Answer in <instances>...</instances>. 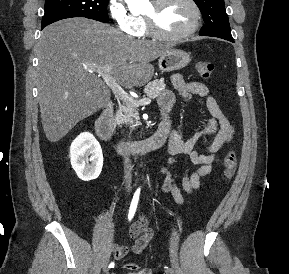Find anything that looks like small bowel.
<instances>
[{
	"label": "small bowel",
	"instance_id": "small-bowel-1",
	"mask_svg": "<svg viewBox=\"0 0 289 274\" xmlns=\"http://www.w3.org/2000/svg\"><path fill=\"white\" fill-rule=\"evenodd\" d=\"M171 81L182 98L190 100L194 96L203 97L210 114L207 125L187 139L184 138L180 129H174L169 134L168 147L171 156L168 164L158 170L165 177L161 193L171 195L175 202L181 205L185 202V198L181 188L176 184V175L172 169L176 158L186 156L192 165L184 172L181 186L186 193H193L200 188L202 178L212 172L219 151L232 141L235 129L204 83L186 82L179 74L173 75ZM158 101L163 112L170 115L175 105L174 93L164 90ZM206 138H212V141L203 149H199V143ZM129 233L131 239L129 245L114 244L112 246L113 255L118 260L124 258L130 251L135 254L141 253L153 236V231L143 216L131 225Z\"/></svg>",
	"mask_w": 289,
	"mask_h": 274
}]
</instances>
